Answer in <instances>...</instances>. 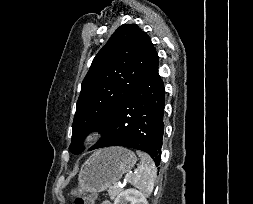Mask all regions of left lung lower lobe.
Instances as JSON below:
<instances>
[{
  "label": "left lung lower lobe",
  "instance_id": "1",
  "mask_svg": "<svg viewBox=\"0 0 253 204\" xmlns=\"http://www.w3.org/2000/svg\"><path fill=\"white\" fill-rule=\"evenodd\" d=\"M155 52L147 70L130 95L100 131L102 138L89 150L124 146L147 152L159 166L164 134V83Z\"/></svg>",
  "mask_w": 253,
  "mask_h": 204
}]
</instances>
